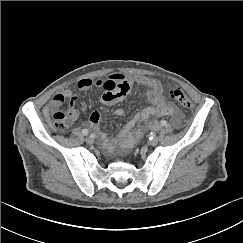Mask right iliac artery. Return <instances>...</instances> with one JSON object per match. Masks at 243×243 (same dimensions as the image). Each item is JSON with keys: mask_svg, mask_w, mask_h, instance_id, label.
I'll list each match as a JSON object with an SVG mask.
<instances>
[{"mask_svg": "<svg viewBox=\"0 0 243 243\" xmlns=\"http://www.w3.org/2000/svg\"><path fill=\"white\" fill-rule=\"evenodd\" d=\"M82 133H83V135H88L89 132H88L87 129H83V130H82Z\"/></svg>", "mask_w": 243, "mask_h": 243, "instance_id": "obj_1", "label": "right iliac artery"}]
</instances>
